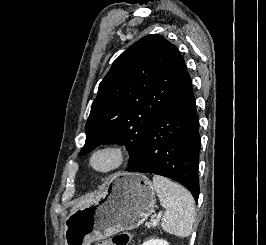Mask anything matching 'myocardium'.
Wrapping results in <instances>:
<instances>
[{"label": "myocardium", "mask_w": 266, "mask_h": 245, "mask_svg": "<svg viewBox=\"0 0 266 245\" xmlns=\"http://www.w3.org/2000/svg\"><path fill=\"white\" fill-rule=\"evenodd\" d=\"M104 152H111L115 156V161L109 168L100 169L95 166V158ZM128 161V152L126 148L119 143H106L94 148L88 155L87 168L88 170L97 176L107 177L115 174L121 170Z\"/></svg>", "instance_id": "f54148a6"}]
</instances>
